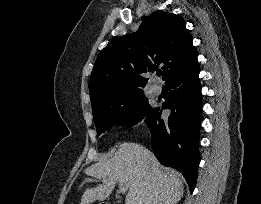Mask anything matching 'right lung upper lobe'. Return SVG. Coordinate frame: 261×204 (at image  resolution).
I'll return each instance as SVG.
<instances>
[{"label":"right lung upper lobe","mask_w":261,"mask_h":204,"mask_svg":"<svg viewBox=\"0 0 261 204\" xmlns=\"http://www.w3.org/2000/svg\"><path fill=\"white\" fill-rule=\"evenodd\" d=\"M197 60V50L184 20L155 12L135 33L120 36L98 55L89 81L92 107L142 90L145 73L162 67L166 82Z\"/></svg>","instance_id":"cb5924a9"}]
</instances>
